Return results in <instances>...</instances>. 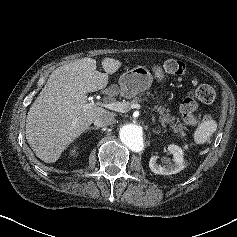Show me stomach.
I'll list each match as a JSON object with an SVG mask.
<instances>
[{
  "mask_svg": "<svg viewBox=\"0 0 237 237\" xmlns=\"http://www.w3.org/2000/svg\"><path fill=\"white\" fill-rule=\"evenodd\" d=\"M153 72L158 81L165 79V75L160 66H154ZM152 81L153 76L150 71L144 66H137L120 76L119 85L122 95L130 99L149 89Z\"/></svg>",
  "mask_w": 237,
  "mask_h": 237,
  "instance_id": "obj_1",
  "label": "stomach"
}]
</instances>
